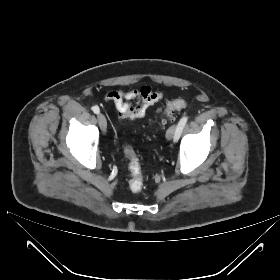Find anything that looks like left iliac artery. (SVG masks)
Returning <instances> with one entry per match:
<instances>
[{"mask_svg": "<svg viewBox=\"0 0 280 280\" xmlns=\"http://www.w3.org/2000/svg\"><path fill=\"white\" fill-rule=\"evenodd\" d=\"M187 120H188V118H187L186 116H184V117H182V118L180 119V121H179V123H178V125H177L176 134H175V136H174V141H175V142L179 139V137H180V135H181V132H182V130H183L185 124L187 123Z\"/></svg>", "mask_w": 280, "mask_h": 280, "instance_id": "1", "label": "left iliac artery"}]
</instances>
